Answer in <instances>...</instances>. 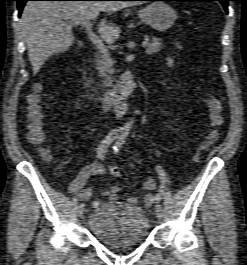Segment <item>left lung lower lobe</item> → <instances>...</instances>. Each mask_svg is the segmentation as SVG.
<instances>
[{"instance_id":"0a47b994","label":"left lung lower lobe","mask_w":247,"mask_h":265,"mask_svg":"<svg viewBox=\"0 0 247 265\" xmlns=\"http://www.w3.org/2000/svg\"><path fill=\"white\" fill-rule=\"evenodd\" d=\"M131 1H181V0H131ZM192 1H220L226 12H228V2L231 0H192Z\"/></svg>"}]
</instances>
